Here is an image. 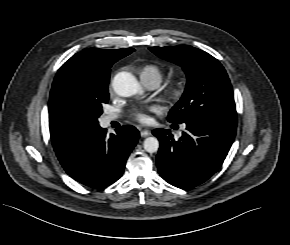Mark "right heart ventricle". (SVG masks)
I'll return each mask as SVG.
<instances>
[{"label":"right heart ventricle","mask_w":290,"mask_h":245,"mask_svg":"<svg viewBox=\"0 0 290 245\" xmlns=\"http://www.w3.org/2000/svg\"><path fill=\"white\" fill-rule=\"evenodd\" d=\"M139 73H140L141 80L149 79V78H152V77H156L160 81L162 79V71L156 65H152V64L144 65L140 69Z\"/></svg>","instance_id":"right-heart-ventricle-1"}]
</instances>
